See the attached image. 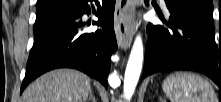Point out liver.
Returning <instances> with one entry per match:
<instances>
[{"mask_svg":"<svg viewBox=\"0 0 221 102\" xmlns=\"http://www.w3.org/2000/svg\"><path fill=\"white\" fill-rule=\"evenodd\" d=\"M91 90L90 78L72 69L50 71L23 93V102H86Z\"/></svg>","mask_w":221,"mask_h":102,"instance_id":"6515ba94","label":"liver"}]
</instances>
